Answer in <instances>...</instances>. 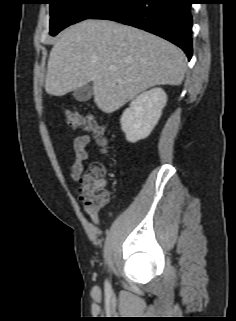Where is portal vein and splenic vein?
<instances>
[{
    "label": "portal vein and splenic vein",
    "instance_id": "obj_1",
    "mask_svg": "<svg viewBox=\"0 0 236 321\" xmlns=\"http://www.w3.org/2000/svg\"><path fill=\"white\" fill-rule=\"evenodd\" d=\"M110 71H115V67H110Z\"/></svg>",
    "mask_w": 236,
    "mask_h": 321
}]
</instances>
